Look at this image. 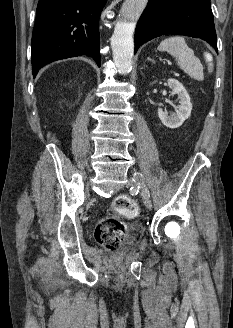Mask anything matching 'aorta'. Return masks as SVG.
<instances>
[{"label": "aorta", "mask_w": 233, "mask_h": 328, "mask_svg": "<svg viewBox=\"0 0 233 328\" xmlns=\"http://www.w3.org/2000/svg\"><path fill=\"white\" fill-rule=\"evenodd\" d=\"M148 0H125L111 38L113 61L120 74H128L132 69L135 23L144 11Z\"/></svg>", "instance_id": "762f6f07"}]
</instances>
